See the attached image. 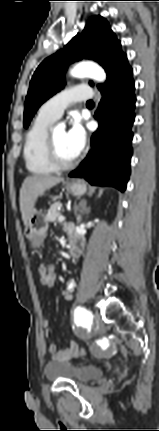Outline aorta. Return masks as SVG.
<instances>
[{"mask_svg": "<svg viewBox=\"0 0 159 431\" xmlns=\"http://www.w3.org/2000/svg\"><path fill=\"white\" fill-rule=\"evenodd\" d=\"M71 75L77 78L90 77L98 82H104L106 79L105 71L92 62L79 63L71 70Z\"/></svg>", "mask_w": 159, "mask_h": 431, "instance_id": "1", "label": "aorta"}]
</instances>
